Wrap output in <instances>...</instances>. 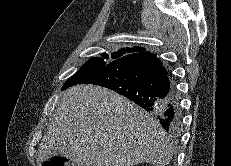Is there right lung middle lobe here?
Segmentation results:
<instances>
[{
	"instance_id": "right-lung-middle-lobe-1",
	"label": "right lung middle lobe",
	"mask_w": 231,
	"mask_h": 166,
	"mask_svg": "<svg viewBox=\"0 0 231 166\" xmlns=\"http://www.w3.org/2000/svg\"><path fill=\"white\" fill-rule=\"evenodd\" d=\"M116 60V56H109L107 53L101 54V57L90 58L72 77H70L63 85L62 90L76 85L86 79L87 77L93 75L94 73L101 70L104 66L110 62Z\"/></svg>"
}]
</instances>
